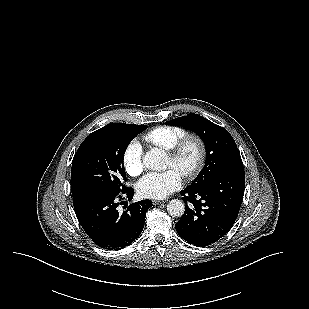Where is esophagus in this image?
Here are the masks:
<instances>
[{"label":"esophagus","mask_w":309,"mask_h":309,"mask_svg":"<svg viewBox=\"0 0 309 309\" xmlns=\"http://www.w3.org/2000/svg\"><path fill=\"white\" fill-rule=\"evenodd\" d=\"M153 204L154 205H159L161 203H163V201H160V200H152Z\"/></svg>","instance_id":"34e87169"}]
</instances>
